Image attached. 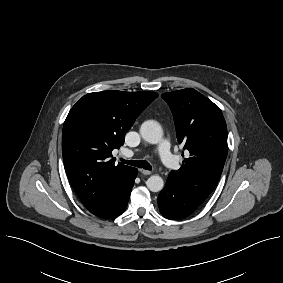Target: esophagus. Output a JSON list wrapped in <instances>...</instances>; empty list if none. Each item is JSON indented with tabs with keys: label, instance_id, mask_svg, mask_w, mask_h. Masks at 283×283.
I'll return each mask as SVG.
<instances>
[{
	"label": "esophagus",
	"instance_id": "esophagus-1",
	"mask_svg": "<svg viewBox=\"0 0 283 283\" xmlns=\"http://www.w3.org/2000/svg\"><path fill=\"white\" fill-rule=\"evenodd\" d=\"M140 172L144 175H150L151 174V171L146 170V169H140Z\"/></svg>",
	"mask_w": 283,
	"mask_h": 283
}]
</instances>
